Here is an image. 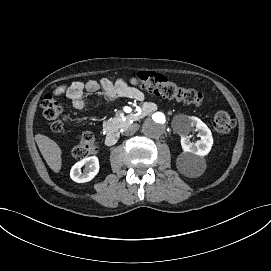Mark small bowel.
<instances>
[{
  "label": "small bowel",
  "mask_w": 271,
  "mask_h": 271,
  "mask_svg": "<svg viewBox=\"0 0 271 271\" xmlns=\"http://www.w3.org/2000/svg\"><path fill=\"white\" fill-rule=\"evenodd\" d=\"M98 90H102L106 99L112 101L118 97H124L134 99L138 101H144L145 95L139 88V85L131 80L127 83L123 79L119 78L114 82L103 78L99 81L87 80L76 81L70 85L60 86L56 89L55 95H64L71 100L74 108L82 110L93 106V103L84 97L85 92L94 93ZM154 103L152 101L144 102L145 110L154 109Z\"/></svg>",
  "instance_id": "small-bowel-1"
}]
</instances>
